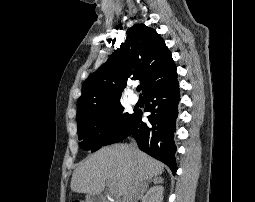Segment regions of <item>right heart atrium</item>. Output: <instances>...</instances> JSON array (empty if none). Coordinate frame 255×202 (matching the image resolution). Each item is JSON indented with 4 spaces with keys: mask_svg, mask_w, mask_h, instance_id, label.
<instances>
[{
    "mask_svg": "<svg viewBox=\"0 0 255 202\" xmlns=\"http://www.w3.org/2000/svg\"><path fill=\"white\" fill-rule=\"evenodd\" d=\"M111 126H112V124H111V123H109V124L107 125V128H108V129H110V128H111Z\"/></svg>",
    "mask_w": 255,
    "mask_h": 202,
    "instance_id": "1",
    "label": "right heart atrium"
}]
</instances>
